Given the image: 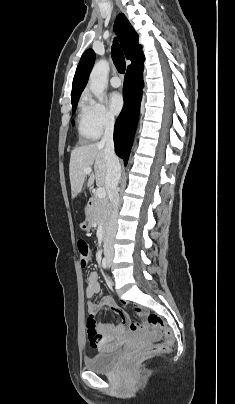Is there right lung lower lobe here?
<instances>
[{
  "label": "right lung lower lobe",
  "mask_w": 235,
  "mask_h": 404,
  "mask_svg": "<svg viewBox=\"0 0 235 404\" xmlns=\"http://www.w3.org/2000/svg\"><path fill=\"white\" fill-rule=\"evenodd\" d=\"M143 63L127 69L123 86L124 108L114 126L115 152L124 160L125 165L128 161L139 116Z\"/></svg>",
  "instance_id": "98d812e1"
}]
</instances>
